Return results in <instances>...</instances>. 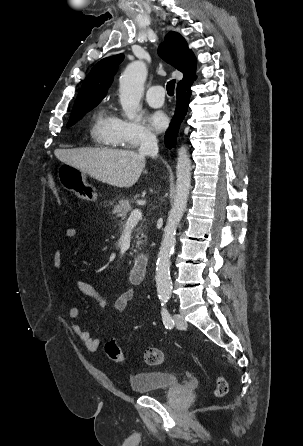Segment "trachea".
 <instances>
[{
	"label": "trachea",
	"instance_id": "3493384b",
	"mask_svg": "<svg viewBox=\"0 0 303 446\" xmlns=\"http://www.w3.org/2000/svg\"><path fill=\"white\" fill-rule=\"evenodd\" d=\"M174 88H175V80L169 81L166 86L168 95L170 96L174 95Z\"/></svg>",
	"mask_w": 303,
	"mask_h": 446
}]
</instances>
